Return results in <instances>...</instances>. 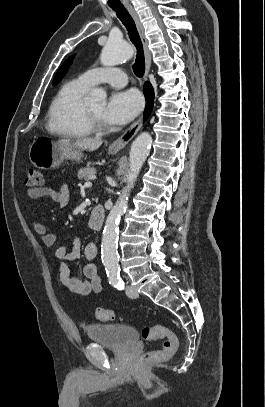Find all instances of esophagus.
<instances>
[{"label": "esophagus", "instance_id": "obj_1", "mask_svg": "<svg viewBox=\"0 0 265 407\" xmlns=\"http://www.w3.org/2000/svg\"><path fill=\"white\" fill-rule=\"evenodd\" d=\"M127 10L129 11V13L131 14L135 21L143 44L145 54V80H147L151 66V52L148 46V40L145 35L144 27L133 7L127 6ZM142 126H143V116L141 115L118 139H116L110 145V149L113 151H119L122 148H124L135 137L138 131L142 128Z\"/></svg>", "mask_w": 265, "mask_h": 407}]
</instances>
